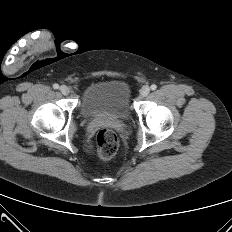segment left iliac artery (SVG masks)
Returning a JSON list of instances; mask_svg holds the SVG:
<instances>
[{
	"label": "left iliac artery",
	"mask_w": 232,
	"mask_h": 232,
	"mask_svg": "<svg viewBox=\"0 0 232 232\" xmlns=\"http://www.w3.org/2000/svg\"><path fill=\"white\" fill-rule=\"evenodd\" d=\"M157 86L155 84L151 85V90H156Z\"/></svg>",
	"instance_id": "left-iliac-artery-1"
}]
</instances>
